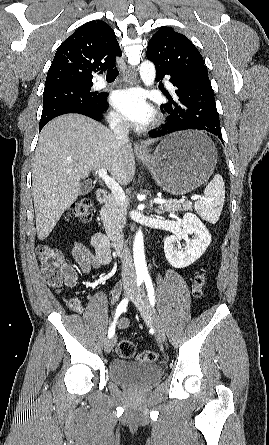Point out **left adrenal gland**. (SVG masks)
Returning <instances> with one entry per match:
<instances>
[{
	"label": "left adrenal gland",
	"instance_id": "1",
	"mask_svg": "<svg viewBox=\"0 0 269 445\" xmlns=\"http://www.w3.org/2000/svg\"><path fill=\"white\" fill-rule=\"evenodd\" d=\"M155 211H156L157 214L162 213L159 209H155Z\"/></svg>",
	"mask_w": 269,
	"mask_h": 445
}]
</instances>
